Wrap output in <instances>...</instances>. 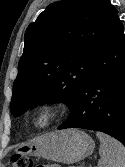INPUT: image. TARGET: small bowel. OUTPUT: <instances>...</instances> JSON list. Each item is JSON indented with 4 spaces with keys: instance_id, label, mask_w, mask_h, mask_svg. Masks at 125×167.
<instances>
[{
    "instance_id": "obj_1",
    "label": "small bowel",
    "mask_w": 125,
    "mask_h": 167,
    "mask_svg": "<svg viewBox=\"0 0 125 167\" xmlns=\"http://www.w3.org/2000/svg\"><path fill=\"white\" fill-rule=\"evenodd\" d=\"M38 167H56V166H53V165H40Z\"/></svg>"
}]
</instances>
